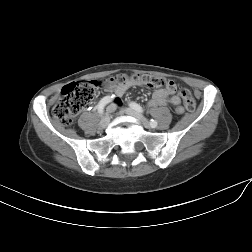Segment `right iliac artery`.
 Masks as SVG:
<instances>
[{
  "mask_svg": "<svg viewBox=\"0 0 252 252\" xmlns=\"http://www.w3.org/2000/svg\"><path fill=\"white\" fill-rule=\"evenodd\" d=\"M114 95L112 96H106L104 97L98 104L97 107V111L99 113L100 116H102L103 112H104V107L113 100Z\"/></svg>",
  "mask_w": 252,
  "mask_h": 252,
  "instance_id": "right-iliac-artery-1",
  "label": "right iliac artery"
}]
</instances>
